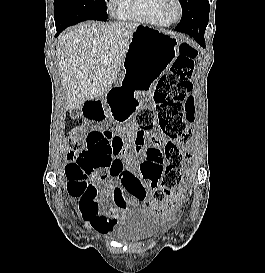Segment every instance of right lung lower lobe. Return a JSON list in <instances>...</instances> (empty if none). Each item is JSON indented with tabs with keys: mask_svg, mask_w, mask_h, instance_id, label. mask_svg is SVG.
Masks as SVG:
<instances>
[{
	"mask_svg": "<svg viewBox=\"0 0 265 273\" xmlns=\"http://www.w3.org/2000/svg\"><path fill=\"white\" fill-rule=\"evenodd\" d=\"M64 29H57V35L62 32Z\"/></svg>",
	"mask_w": 265,
	"mask_h": 273,
	"instance_id": "right-lung-lower-lobe-1",
	"label": "right lung lower lobe"
}]
</instances>
